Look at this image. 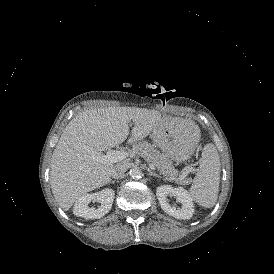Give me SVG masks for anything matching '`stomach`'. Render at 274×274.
Listing matches in <instances>:
<instances>
[{"mask_svg":"<svg viewBox=\"0 0 274 274\" xmlns=\"http://www.w3.org/2000/svg\"><path fill=\"white\" fill-rule=\"evenodd\" d=\"M194 125L195 122H178L166 117L161 128L153 132L156 145L176 166L185 164L197 149L200 130L198 127L194 130Z\"/></svg>","mask_w":274,"mask_h":274,"instance_id":"stomach-1","label":"stomach"}]
</instances>
